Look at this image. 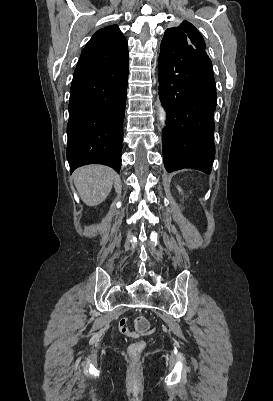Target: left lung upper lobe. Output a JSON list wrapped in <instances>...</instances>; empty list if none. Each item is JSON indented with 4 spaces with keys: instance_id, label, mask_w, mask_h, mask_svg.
<instances>
[{
    "instance_id": "1",
    "label": "left lung upper lobe",
    "mask_w": 273,
    "mask_h": 401,
    "mask_svg": "<svg viewBox=\"0 0 273 401\" xmlns=\"http://www.w3.org/2000/svg\"><path fill=\"white\" fill-rule=\"evenodd\" d=\"M161 43L168 46L191 45L199 50L206 48L200 32L186 20L179 27L168 28Z\"/></svg>"
}]
</instances>
